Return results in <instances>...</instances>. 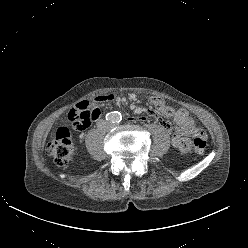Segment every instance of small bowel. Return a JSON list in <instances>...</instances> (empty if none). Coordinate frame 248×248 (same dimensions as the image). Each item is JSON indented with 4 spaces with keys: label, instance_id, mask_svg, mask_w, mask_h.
<instances>
[{
    "label": "small bowel",
    "instance_id": "obj_1",
    "mask_svg": "<svg viewBox=\"0 0 248 248\" xmlns=\"http://www.w3.org/2000/svg\"><path fill=\"white\" fill-rule=\"evenodd\" d=\"M97 98L96 102H109L112 100L109 99L108 101H101ZM152 106L158 110L161 115L169 121L176 122L177 131L172 135L171 142L173 147L178 149L181 152L189 151L191 147V141L189 138V134L194 133L196 129L193 126V120L189 116L188 112L184 109H177L173 108L172 106L168 105L163 99L159 96H154L150 100ZM98 107V106H97ZM135 112L137 114H141L145 112V109L137 107L135 108ZM149 116H147L146 121L152 126L158 125L160 122L165 128H170V125L160 118V116L154 112L153 110H149ZM101 115V109L98 107V114L95 119L99 118Z\"/></svg>",
    "mask_w": 248,
    "mask_h": 248
}]
</instances>
